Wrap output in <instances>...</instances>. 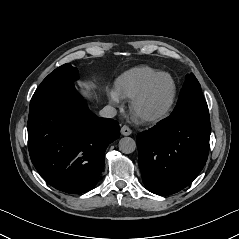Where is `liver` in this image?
I'll return each mask as SVG.
<instances>
[{"mask_svg":"<svg viewBox=\"0 0 239 239\" xmlns=\"http://www.w3.org/2000/svg\"><path fill=\"white\" fill-rule=\"evenodd\" d=\"M84 85H85V87H86V90H82L81 92H82L84 95H88V92H89L90 88L92 87V84H90V83H85Z\"/></svg>","mask_w":239,"mask_h":239,"instance_id":"6515ba94","label":"liver"}]
</instances>
